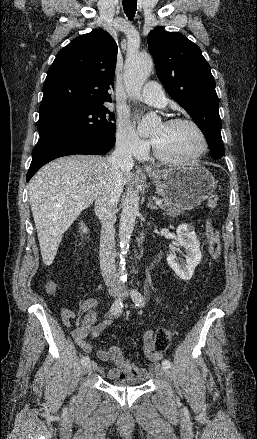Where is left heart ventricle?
<instances>
[{
    "instance_id": "obj_1",
    "label": "left heart ventricle",
    "mask_w": 257,
    "mask_h": 439,
    "mask_svg": "<svg viewBox=\"0 0 257 439\" xmlns=\"http://www.w3.org/2000/svg\"><path fill=\"white\" fill-rule=\"evenodd\" d=\"M159 149L172 158H189L201 146L199 136L189 125L164 126L159 124L151 132Z\"/></svg>"
}]
</instances>
